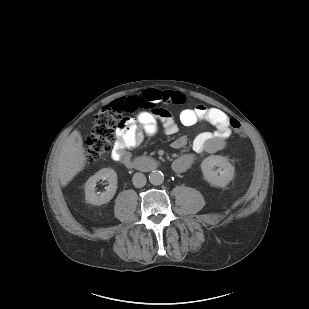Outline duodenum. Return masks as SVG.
Returning <instances> with one entry per match:
<instances>
[{"label":"duodenum","mask_w":309,"mask_h":309,"mask_svg":"<svg viewBox=\"0 0 309 309\" xmlns=\"http://www.w3.org/2000/svg\"><path fill=\"white\" fill-rule=\"evenodd\" d=\"M130 166L144 170V171H149V170H155L159 168V163L152 158H144V159H138L134 162H131Z\"/></svg>","instance_id":"duodenum-1"}]
</instances>
